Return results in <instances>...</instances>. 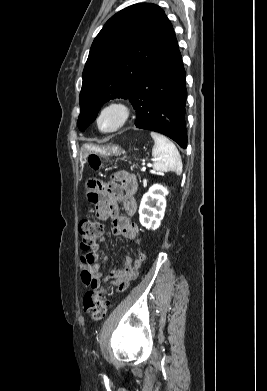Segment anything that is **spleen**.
Listing matches in <instances>:
<instances>
[{"label": "spleen", "instance_id": "spleen-1", "mask_svg": "<svg viewBox=\"0 0 267 391\" xmlns=\"http://www.w3.org/2000/svg\"><path fill=\"white\" fill-rule=\"evenodd\" d=\"M154 139L152 156L155 158L153 169L156 171L182 173V160L176 146L164 135L151 132Z\"/></svg>", "mask_w": 267, "mask_h": 391}]
</instances>
